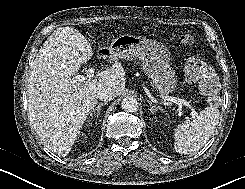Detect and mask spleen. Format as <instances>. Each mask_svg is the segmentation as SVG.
I'll return each instance as SVG.
<instances>
[{
    "mask_svg": "<svg viewBox=\"0 0 245 189\" xmlns=\"http://www.w3.org/2000/svg\"><path fill=\"white\" fill-rule=\"evenodd\" d=\"M220 112L216 105L208 106L189 122L175 128L174 146L180 154H191L202 148L214 133Z\"/></svg>",
    "mask_w": 245,
    "mask_h": 189,
    "instance_id": "spleen-1",
    "label": "spleen"
}]
</instances>
